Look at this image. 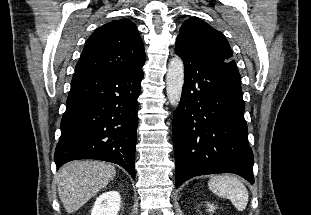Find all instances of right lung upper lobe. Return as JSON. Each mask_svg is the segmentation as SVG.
<instances>
[{"label": "right lung upper lobe", "mask_w": 311, "mask_h": 215, "mask_svg": "<svg viewBox=\"0 0 311 215\" xmlns=\"http://www.w3.org/2000/svg\"><path fill=\"white\" fill-rule=\"evenodd\" d=\"M145 63L143 41L129 19L97 28L85 43L75 71L133 72Z\"/></svg>", "instance_id": "right-lung-upper-lobe-1"}]
</instances>
